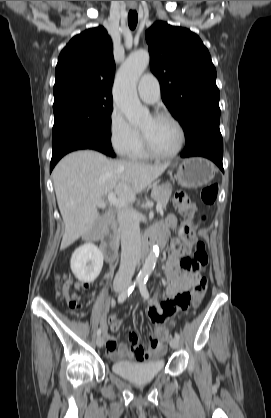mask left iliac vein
I'll return each instance as SVG.
<instances>
[{
	"instance_id": "1",
	"label": "left iliac vein",
	"mask_w": 271,
	"mask_h": 418,
	"mask_svg": "<svg viewBox=\"0 0 271 418\" xmlns=\"http://www.w3.org/2000/svg\"><path fill=\"white\" fill-rule=\"evenodd\" d=\"M169 343L170 347L173 349H177L179 347V340L176 338H172Z\"/></svg>"
}]
</instances>
